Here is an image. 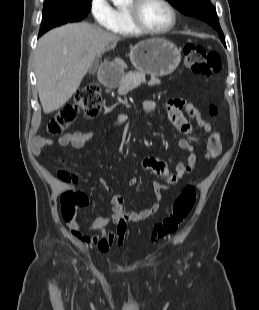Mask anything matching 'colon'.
I'll use <instances>...</instances> for the list:
<instances>
[{
	"label": "colon",
	"mask_w": 259,
	"mask_h": 310,
	"mask_svg": "<svg viewBox=\"0 0 259 310\" xmlns=\"http://www.w3.org/2000/svg\"><path fill=\"white\" fill-rule=\"evenodd\" d=\"M183 54L186 66L194 73L211 77L217 75L221 70L219 56L205 47L197 44H186L183 46ZM101 90L96 84H89L75 95L74 106L64 110L59 116L53 118L48 130L51 134H59L70 122L77 112H82L89 118L98 116L101 106ZM209 114L213 117L218 114L215 104L209 106ZM60 177L69 183H75L77 178L68 171L60 172ZM197 199V191L194 184H189L182 189L172 205V213L163 222L156 225L151 233L152 240L156 241L175 233L179 225L185 220L192 210ZM88 196L82 191L68 190L60 198V212L62 219L67 224L75 221L78 210L86 206Z\"/></svg>",
	"instance_id": "obj_1"
}]
</instances>
